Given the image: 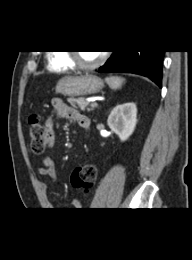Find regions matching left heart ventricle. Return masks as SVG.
Wrapping results in <instances>:
<instances>
[{
	"mask_svg": "<svg viewBox=\"0 0 192 260\" xmlns=\"http://www.w3.org/2000/svg\"><path fill=\"white\" fill-rule=\"evenodd\" d=\"M80 60L85 64H90L99 59L101 52L96 51H81L78 53Z\"/></svg>",
	"mask_w": 192,
	"mask_h": 260,
	"instance_id": "1",
	"label": "left heart ventricle"
}]
</instances>
